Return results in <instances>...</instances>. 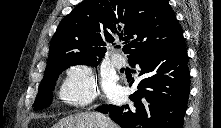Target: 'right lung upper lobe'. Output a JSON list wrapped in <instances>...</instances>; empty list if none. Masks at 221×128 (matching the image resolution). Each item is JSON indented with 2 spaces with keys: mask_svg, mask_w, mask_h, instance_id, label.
Masks as SVG:
<instances>
[{
  "mask_svg": "<svg viewBox=\"0 0 221 128\" xmlns=\"http://www.w3.org/2000/svg\"><path fill=\"white\" fill-rule=\"evenodd\" d=\"M182 29L168 0H84L60 22L48 65L71 59H102L106 43L125 41L133 58L176 44Z\"/></svg>",
  "mask_w": 221,
  "mask_h": 128,
  "instance_id": "1",
  "label": "right lung upper lobe"
}]
</instances>
